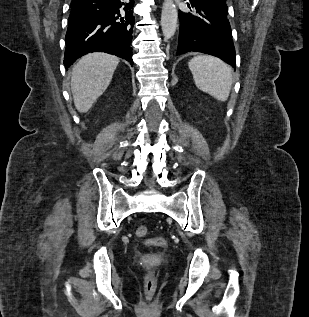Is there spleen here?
Masks as SVG:
<instances>
[{
  "mask_svg": "<svg viewBox=\"0 0 309 317\" xmlns=\"http://www.w3.org/2000/svg\"><path fill=\"white\" fill-rule=\"evenodd\" d=\"M196 86L219 101H226L232 85L230 67L220 59L199 55L188 63Z\"/></svg>",
  "mask_w": 309,
  "mask_h": 317,
  "instance_id": "spleen-1",
  "label": "spleen"
}]
</instances>
